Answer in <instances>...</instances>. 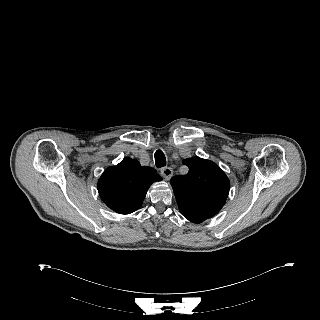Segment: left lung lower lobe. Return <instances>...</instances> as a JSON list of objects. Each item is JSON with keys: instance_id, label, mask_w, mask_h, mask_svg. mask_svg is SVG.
Returning a JSON list of instances; mask_svg holds the SVG:
<instances>
[{"instance_id": "left-lung-lower-lobe-1", "label": "left lung lower lobe", "mask_w": 320, "mask_h": 320, "mask_svg": "<svg viewBox=\"0 0 320 320\" xmlns=\"http://www.w3.org/2000/svg\"><path fill=\"white\" fill-rule=\"evenodd\" d=\"M180 211H181V210H180ZM181 214H182L186 219H188L189 221L194 222V223H201V222H203L204 220H206V219H203V218L196 217V216H194V215H192V214H189V213H187V212H184V211H181Z\"/></svg>"}]
</instances>
